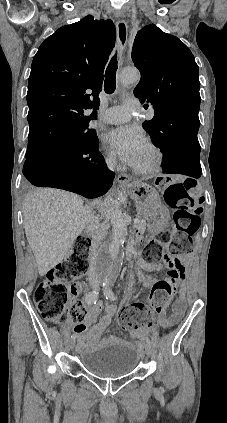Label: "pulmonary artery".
Segmentation results:
<instances>
[{"label":"pulmonary artery","mask_w":227,"mask_h":423,"mask_svg":"<svg viewBox=\"0 0 227 423\" xmlns=\"http://www.w3.org/2000/svg\"><path fill=\"white\" fill-rule=\"evenodd\" d=\"M134 104L131 101H127L120 106H114L106 110H99V119L106 124H123L131 119V113L133 111ZM153 110L142 111L138 113V118L142 120H151Z\"/></svg>","instance_id":"1"}]
</instances>
